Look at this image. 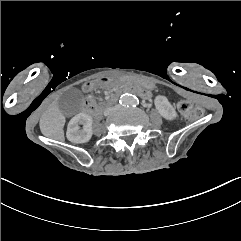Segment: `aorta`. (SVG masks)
<instances>
[{"instance_id": "obj_1", "label": "aorta", "mask_w": 241, "mask_h": 241, "mask_svg": "<svg viewBox=\"0 0 241 241\" xmlns=\"http://www.w3.org/2000/svg\"><path fill=\"white\" fill-rule=\"evenodd\" d=\"M123 102L125 104H133L135 102L134 97L130 96V95H126L123 97Z\"/></svg>"}]
</instances>
